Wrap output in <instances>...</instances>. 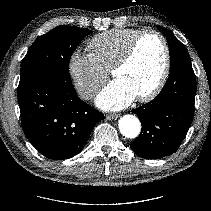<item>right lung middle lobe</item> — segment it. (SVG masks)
<instances>
[{
  "mask_svg": "<svg viewBox=\"0 0 211 211\" xmlns=\"http://www.w3.org/2000/svg\"><path fill=\"white\" fill-rule=\"evenodd\" d=\"M90 33L92 31L61 25L38 37L22 60L20 82L42 73L56 74L70 81L71 55Z\"/></svg>",
  "mask_w": 211,
  "mask_h": 211,
  "instance_id": "obj_1",
  "label": "right lung middle lobe"
}]
</instances>
